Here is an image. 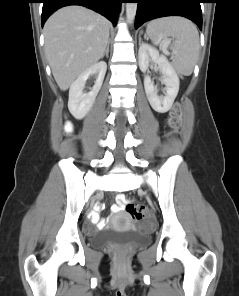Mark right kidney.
<instances>
[{
    "label": "right kidney",
    "mask_w": 239,
    "mask_h": 296,
    "mask_svg": "<svg viewBox=\"0 0 239 296\" xmlns=\"http://www.w3.org/2000/svg\"><path fill=\"white\" fill-rule=\"evenodd\" d=\"M106 71V62L100 61L95 63L81 73L70 86L68 108L76 119L84 118L92 108L95 98L101 89ZM90 76H96L95 84L90 92L84 93L86 81Z\"/></svg>",
    "instance_id": "1"
}]
</instances>
